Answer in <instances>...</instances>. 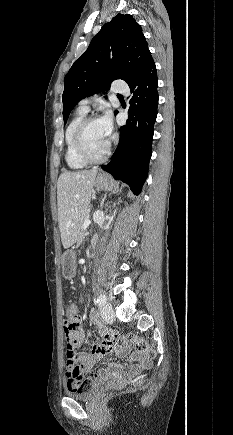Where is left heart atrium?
Returning a JSON list of instances; mask_svg holds the SVG:
<instances>
[{
	"label": "left heart atrium",
	"mask_w": 233,
	"mask_h": 435,
	"mask_svg": "<svg viewBox=\"0 0 233 435\" xmlns=\"http://www.w3.org/2000/svg\"><path fill=\"white\" fill-rule=\"evenodd\" d=\"M100 121L104 127V130L110 136L113 129L111 114L109 112L105 113V115L100 119Z\"/></svg>",
	"instance_id": "left-heart-atrium-1"
}]
</instances>
